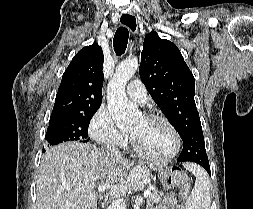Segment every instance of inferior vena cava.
<instances>
[{"label":"inferior vena cava","mask_w":253,"mask_h":209,"mask_svg":"<svg viewBox=\"0 0 253 209\" xmlns=\"http://www.w3.org/2000/svg\"><path fill=\"white\" fill-rule=\"evenodd\" d=\"M106 153L111 157V158H115L117 160H121L122 159V155L121 152L119 151V149L112 143H108L106 146Z\"/></svg>","instance_id":"602c4592"}]
</instances>
